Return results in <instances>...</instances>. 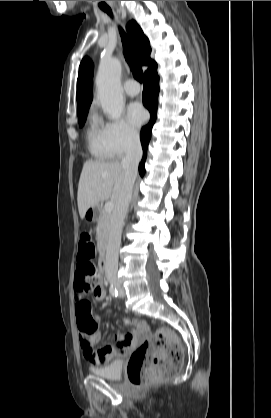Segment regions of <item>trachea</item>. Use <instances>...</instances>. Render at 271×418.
<instances>
[{
    "label": "trachea",
    "instance_id": "3493384b",
    "mask_svg": "<svg viewBox=\"0 0 271 418\" xmlns=\"http://www.w3.org/2000/svg\"><path fill=\"white\" fill-rule=\"evenodd\" d=\"M108 15L112 17V11L111 9L104 10ZM120 35L122 39L123 49H124V56L126 61L128 62L130 69L133 73L134 78L141 82L143 81V71L139 63L137 62L135 58V50L133 47L132 42L128 38V36L125 34L122 28H120Z\"/></svg>",
    "mask_w": 271,
    "mask_h": 418
}]
</instances>
